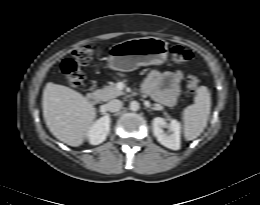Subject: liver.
<instances>
[{
    "mask_svg": "<svg viewBox=\"0 0 260 205\" xmlns=\"http://www.w3.org/2000/svg\"><path fill=\"white\" fill-rule=\"evenodd\" d=\"M42 108L49 131L73 147L83 144L96 117L95 107L82 94L52 82L43 90Z\"/></svg>",
    "mask_w": 260,
    "mask_h": 205,
    "instance_id": "6515ba94",
    "label": "liver"
}]
</instances>
